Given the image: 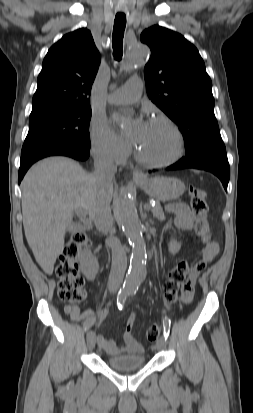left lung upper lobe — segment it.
I'll return each instance as SVG.
<instances>
[{
  "instance_id": "obj_1",
  "label": "left lung upper lobe",
  "mask_w": 253,
  "mask_h": 413,
  "mask_svg": "<svg viewBox=\"0 0 253 413\" xmlns=\"http://www.w3.org/2000/svg\"><path fill=\"white\" fill-rule=\"evenodd\" d=\"M151 49L144 69L149 98L180 128L186 158L225 151L214 115L212 83L196 47L181 34L154 25L141 34Z\"/></svg>"
}]
</instances>
